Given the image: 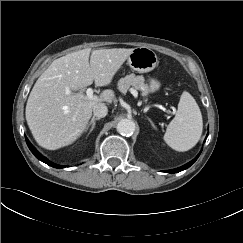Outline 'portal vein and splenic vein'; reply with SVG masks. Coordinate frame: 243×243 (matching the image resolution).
I'll list each match as a JSON object with an SVG mask.
<instances>
[{"instance_id": "1", "label": "portal vein and splenic vein", "mask_w": 243, "mask_h": 243, "mask_svg": "<svg viewBox=\"0 0 243 243\" xmlns=\"http://www.w3.org/2000/svg\"><path fill=\"white\" fill-rule=\"evenodd\" d=\"M67 93L69 94L70 91L68 90ZM131 93H132L134 96H137V91H136V90L131 89ZM80 96H82V95H80ZM85 97H86L87 99H90V100H93V99H96V98H97L96 96H94V94H93V89H92V88H88V89L86 90V96H85Z\"/></svg>"}]
</instances>
